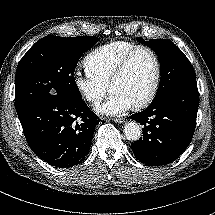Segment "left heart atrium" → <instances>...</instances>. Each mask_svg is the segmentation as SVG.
Wrapping results in <instances>:
<instances>
[{"label":"left heart atrium","mask_w":215,"mask_h":215,"mask_svg":"<svg viewBox=\"0 0 215 215\" xmlns=\"http://www.w3.org/2000/svg\"><path fill=\"white\" fill-rule=\"evenodd\" d=\"M132 107L130 100L123 94L112 92L107 101L97 107L98 112L106 115H122Z\"/></svg>","instance_id":"left-heart-atrium-1"}]
</instances>
